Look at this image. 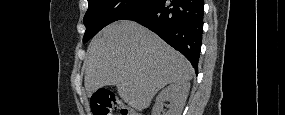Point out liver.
Listing matches in <instances>:
<instances>
[{
  "mask_svg": "<svg viewBox=\"0 0 285 115\" xmlns=\"http://www.w3.org/2000/svg\"><path fill=\"white\" fill-rule=\"evenodd\" d=\"M84 69L89 97L103 86L116 85L119 96L138 111L146 109L167 84L188 81L194 75L182 54L129 20L111 23L93 38Z\"/></svg>",
  "mask_w": 285,
  "mask_h": 115,
  "instance_id": "6515ba94",
  "label": "liver"
}]
</instances>
